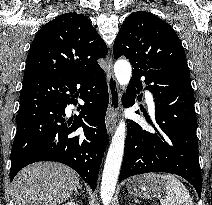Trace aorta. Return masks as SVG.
Segmentation results:
<instances>
[{"instance_id": "aorta-1", "label": "aorta", "mask_w": 212, "mask_h": 205, "mask_svg": "<svg viewBox=\"0 0 212 205\" xmlns=\"http://www.w3.org/2000/svg\"><path fill=\"white\" fill-rule=\"evenodd\" d=\"M114 73L119 84L126 87L132 75L130 63L123 59L118 60L114 65ZM125 136L126 123L121 120L111 140L102 174L100 195L103 205H109L115 192L124 153Z\"/></svg>"}]
</instances>
